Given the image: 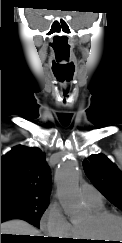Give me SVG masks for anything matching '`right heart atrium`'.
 Returning a JSON list of instances; mask_svg holds the SVG:
<instances>
[{
    "label": "right heart atrium",
    "mask_w": 122,
    "mask_h": 243,
    "mask_svg": "<svg viewBox=\"0 0 122 243\" xmlns=\"http://www.w3.org/2000/svg\"><path fill=\"white\" fill-rule=\"evenodd\" d=\"M43 231L53 238L68 239L74 237L75 228L64 215L62 208L56 204H50L41 221Z\"/></svg>",
    "instance_id": "1"
}]
</instances>
